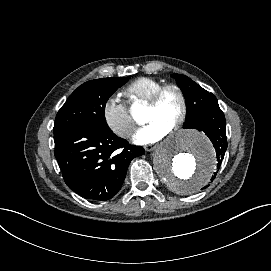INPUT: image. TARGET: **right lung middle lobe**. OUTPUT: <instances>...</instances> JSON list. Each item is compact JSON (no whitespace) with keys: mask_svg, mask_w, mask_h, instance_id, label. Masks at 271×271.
I'll return each instance as SVG.
<instances>
[{"mask_svg":"<svg viewBox=\"0 0 271 271\" xmlns=\"http://www.w3.org/2000/svg\"><path fill=\"white\" fill-rule=\"evenodd\" d=\"M128 79L129 77L101 78L79 86L58 111L54 134L72 126L108 128L104 115L106 102Z\"/></svg>","mask_w":271,"mask_h":271,"instance_id":"dd1d6c3e","label":"right lung middle lobe"}]
</instances>
